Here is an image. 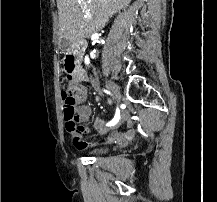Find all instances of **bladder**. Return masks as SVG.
<instances>
[{"label": "bladder", "mask_w": 217, "mask_h": 202, "mask_svg": "<svg viewBox=\"0 0 217 202\" xmlns=\"http://www.w3.org/2000/svg\"><path fill=\"white\" fill-rule=\"evenodd\" d=\"M103 149H104V147L94 148V149L92 150V152H93V153H98V152L102 151Z\"/></svg>", "instance_id": "bladder-1"}]
</instances>
